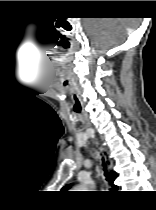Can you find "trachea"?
<instances>
[{"instance_id":"trachea-1","label":"trachea","mask_w":156,"mask_h":210,"mask_svg":"<svg viewBox=\"0 0 156 210\" xmlns=\"http://www.w3.org/2000/svg\"><path fill=\"white\" fill-rule=\"evenodd\" d=\"M104 171H105L104 175L107 177L106 168L104 169ZM106 179H108V178H106Z\"/></svg>"}]
</instances>
